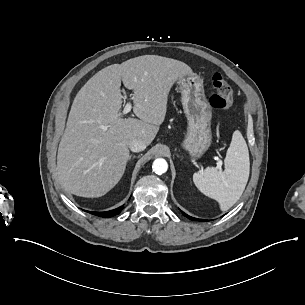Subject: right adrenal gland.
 Segmentation results:
<instances>
[{
	"label": "right adrenal gland",
	"mask_w": 305,
	"mask_h": 305,
	"mask_svg": "<svg viewBox=\"0 0 305 305\" xmlns=\"http://www.w3.org/2000/svg\"><path fill=\"white\" fill-rule=\"evenodd\" d=\"M132 157L135 158V155H130V156H129V160H130Z\"/></svg>",
	"instance_id": "obj_1"
}]
</instances>
